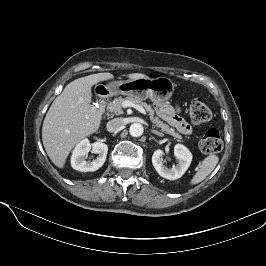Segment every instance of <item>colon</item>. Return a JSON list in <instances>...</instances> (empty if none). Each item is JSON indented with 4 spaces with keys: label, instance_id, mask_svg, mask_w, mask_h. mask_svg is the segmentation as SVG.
<instances>
[{
    "label": "colon",
    "instance_id": "1",
    "mask_svg": "<svg viewBox=\"0 0 266 266\" xmlns=\"http://www.w3.org/2000/svg\"><path fill=\"white\" fill-rule=\"evenodd\" d=\"M189 116L193 123L199 125L207 123L212 112L210 108L201 100L195 99L190 103ZM199 147L203 153H217L222 149V139L217 129H209L201 138Z\"/></svg>",
    "mask_w": 266,
    "mask_h": 266
}]
</instances>
